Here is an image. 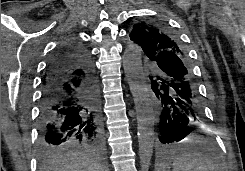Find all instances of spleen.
<instances>
[{"label": "spleen", "mask_w": 245, "mask_h": 171, "mask_svg": "<svg viewBox=\"0 0 245 171\" xmlns=\"http://www.w3.org/2000/svg\"><path fill=\"white\" fill-rule=\"evenodd\" d=\"M173 171H216V167L208 157L189 152L174 159Z\"/></svg>", "instance_id": "1"}]
</instances>
